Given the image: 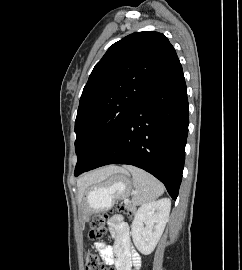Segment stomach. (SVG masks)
Here are the masks:
<instances>
[{
	"mask_svg": "<svg viewBox=\"0 0 242 270\" xmlns=\"http://www.w3.org/2000/svg\"><path fill=\"white\" fill-rule=\"evenodd\" d=\"M131 190L130 176L121 168L104 181L89 186L81 207V221L87 222L93 213L103 212L112 207L114 202L124 199Z\"/></svg>",
	"mask_w": 242,
	"mask_h": 270,
	"instance_id": "obj_1",
	"label": "stomach"
}]
</instances>
